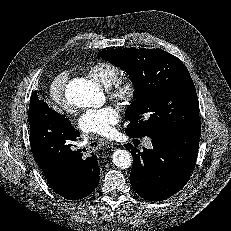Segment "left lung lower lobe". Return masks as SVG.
Here are the masks:
<instances>
[{"label":"left lung lower lobe","instance_id":"left-lung-lower-lobe-1","mask_svg":"<svg viewBox=\"0 0 231 231\" xmlns=\"http://www.w3.org/2000/svg\"><path fill=\"white\" fill-rule=\"evenodd\" d=\"M200 133L195 130L175 136H149L153 148H143L142 153L131 144L125 145L133 156L130 181L134 191L150 201H161L180 191L195 166Z\"/></svg>","mask_w":231,"mask_h":231}]
</instances>
